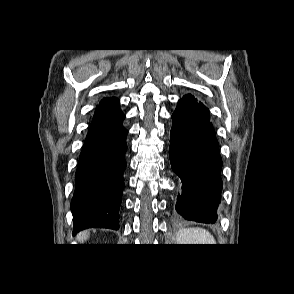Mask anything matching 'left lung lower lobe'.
<instances>
[{
  "label": "left lung lower lobe",
  "instance_id": "1",
  "mask_svg": "<svg viewBox=\"0 0 294 294\" xmlns=\"http://www.w3.org/2000/svg\"><path fill=\"white\" fill-rule=\"evenodd\" d=\"M171 168L180 178L176 211L186 220L215 223L222 189V159L209 110L187 94L172 115Z\"/></svg>",
  "mask_w": 294,
  "mask_h": 294
}]
</instances>
